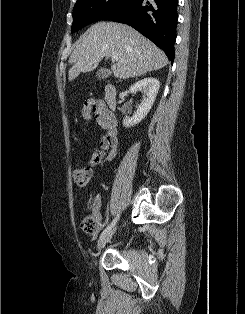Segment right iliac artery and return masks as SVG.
<instances>
[{"label": "right iliac artery", "mask_w": 245, "mask_h": 314, "mask_svg": "<svg viewBox=\"0 0 245 314\" xmlns=\"http://www.w3.org/2000/svg\"><path fill=\"white\" fill-rule=\"evenodd\" d=\"M116 222H117V217L103 230L100 237L108 233L112 229V227L116 224Z\"/></svg>", "instance_id": "82829eb1"}]
</instances>
